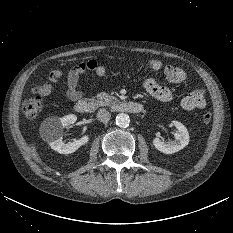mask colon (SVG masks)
Instances as JSON below:
<instances>
[{"label":"colon","mask_w":233,"mask_h":233,"mask_svg":"<svg viewBox=\"0 0 233 233\" xmlns=\"http://www.w3.org/2000/svg\"><path fill=\"white\" fill-rule=\"evenodd\" d=\"M22 109L24 114L29 118L36 117L42 109V99L39 96L31 97L29 99H26L23 102ZM212 115L211 113L207 112L203 114L202 121L205 124H208L211 122Z\"/></svg>","instance_id":"colon-1"}]
</instances>
